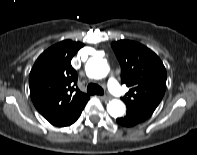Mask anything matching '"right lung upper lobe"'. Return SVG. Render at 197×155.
I'll list each match as a JSON object with an SVG mask.
<instances>
[{
    "instance_id": "1",
    "label": "right lung upper lobe",
    "mask_w": 197,
    "mask_h": 155,
    "mask_svg": "<svg viewBox=\"0 0 197 155\" xmlns=\"http://www.w3.org/2000/svg\"><path fill=\"white\" fill-rule=\"evenodd\" d=\"M83 46L71 40L55 44L38 57L29 75L36 109L58 127L71 125L90 98L75 88L77 72L71 66L72 57Z\"/></svg>"
}]
</instances>
